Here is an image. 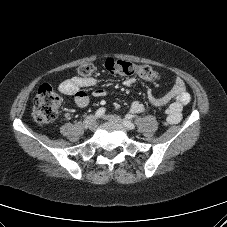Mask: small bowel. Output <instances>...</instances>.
<instances>
[{
    "label": "small bowel",
    "mask_w": 227,
    "mask_h": 227,
    "mask_svg": "<svg viewBox=\"0 0 227 227\" xmlns=\"http://www.w3.org/2000/svg\"><path fill=\"white\" fill-rule=\"evenodd\" d=\"M135 83V78L127 77L124 79L123 84L125 86H131ZM96 85L94 78H82L73 77L63 81L59 85V91L68 97H73L75 103L79 107H85L89 103V96L82 89L91 88ZM106 95V91L103 88L97 87L92 91V96L100 98ZM148 99L152 106L160 107L172 100L166 109V122L168 124H177L182 119V110L190 100V94L188 93L185 83L181 78H176L172 88L161 96L148 92ZM145 106L139 101H133L130 104L131 114H140L145 111Z\"/></svg>",
    "instance_id": "small-bowel-1"
}]
</instances>
